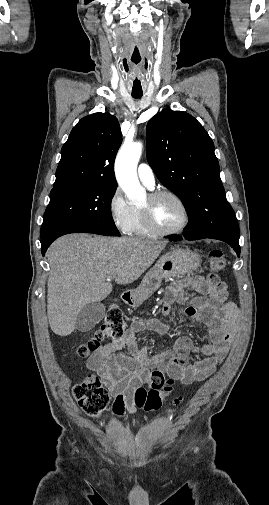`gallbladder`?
I'll return each instance as SVG.
<instances>
[{"label": "gallbladder", "mask_w": 269, "mask_h": 505, "mask_svg": "<svg viewBox=\"0 0 269 505\" xmlns=\"http://www.w3.org/2000/svg\"><path fill=\"white\" fill-rule=\"evenodd\" d=\"M105 316V305L101 302H92L85 305L78 313L76 329L80 332H88L98 324Z\"/></svg>", "instance_id": "bac80fb5"}]
</instances>
